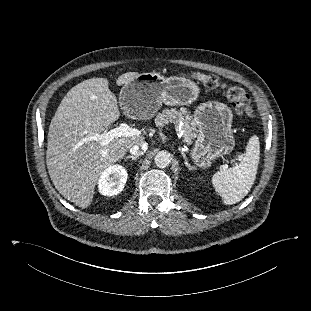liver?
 <instances>
[{"label":"liver","mask_w":311,"mask_h":311,"mask_svg":"<svg viewBox=\"0 0 311 311\" xmlns=\"http://www.w3.org/2000/svg\"><path fill=\"white\" fill-rule=\"evenodd\" d=\"M138 72L120 75L116 84L134 81ZM130 118L136 119L124 112ZM120 117L116 96L106 78H91L75 85L62 99L51 120L46 164L58 192L75 205L87 208L102 172L120 161L144 135L114 138L107 145L93 140Z\"/></svg>","instance_id":"liver-1"}]
</instances>
